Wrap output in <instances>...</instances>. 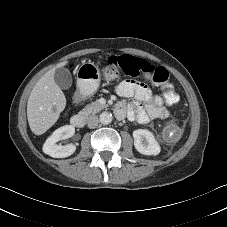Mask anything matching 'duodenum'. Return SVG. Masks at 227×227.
Listing matches in <instances>:
<instances>
[{"label": "duodenum", "mask_w": 227, "mask_h": 227, "mask_svg": "<svg viewBox=\"0 0 227 227\" xmlns=\"http://www.w3.org/2000/svg\"><path fill=\"white\" fill-rule=\"evenodd\" d=\"M85 96H86V82L80 81L77 84V88L74 94V103L77 105L80 104L81 101L85 98ZM71 124L78 129H82L85 127L86 117L83 114H76L72 116Z\"/></svg>", "instance_id": "duodenum-1"}]
</instances>
